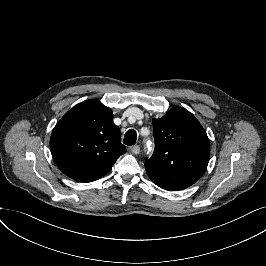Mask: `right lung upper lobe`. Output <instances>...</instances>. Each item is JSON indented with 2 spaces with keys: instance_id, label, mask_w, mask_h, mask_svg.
Here are the masks:
<instances>
[{
  "instance_id": "cb5924a9",
  "label": "right lung upper lobe",
  "mask_w": 266,
  "mask_h": 266,
  "mask_svg": "<svg viewBox=\"0 0 266 266\" xmlns=\"http://www.w3.org/2000/svg\"><path fill=\"white\" fill-rule=\"evenodd\" d=\"M50 149L59 169L80 182L101 178L126 152L112 110L94 99L79 103L60 119Z\"/></svg>"
}]
</instances>
